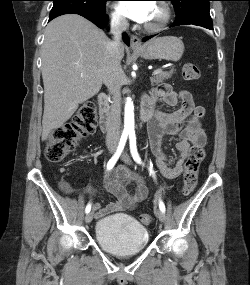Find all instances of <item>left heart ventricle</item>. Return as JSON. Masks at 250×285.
I'll use <instances>...</instances> for the list:
<instances>
[{
    "mask_svg": "<svg viewBox=\"0 0 250 285\" xmlns=\"http://www.w3.org/2000/svg\"><path fill=\"white\" fill-rule=\"evenodd\" d=\"M160 18H161V11L157 5H154L151 15L146 24H155L160 20Z\"/></svg>",
    "mask_w": 250,
    "mask_h": 285,
    "instance_id": "obj_1",
    "label": "left heart ventricle"
}]
</instances>
